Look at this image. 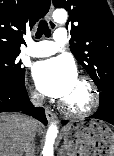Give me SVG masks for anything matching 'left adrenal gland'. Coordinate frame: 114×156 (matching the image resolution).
Here are the masks:
<instances>
[{
    "instance_id": "obj_1",
    "label": "left adrenal gland",
    "mask_w": 114,
    "mask_h": 156,
    "mask_svg": "<svg viewBox=\"0 0 114 156\" xmlns=\"http://www.w3.org/2000/svg\"><path fill=\"white\" fill-rule=\"evenodd\" d=\"M63 151H64V149L62 147L61 150H60V156H65Z\"/></svg>"
}]
</instances>
